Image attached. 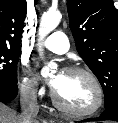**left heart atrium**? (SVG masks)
I'll list each match as a JSON object with an SVG mask.
<instances>
[{
    "label": "left heart atrium",
    "mask_w": 118,
    "mask_h": 123,
    "mask_svg": "<svg viewBox=\"0 0 118 123\" xmlns=\"http://www.w3.org/2000/svg\"><path fill=\"white\" fill-rule=\"evenodd\" d=\"M62 79V73H58L53 79L50 80L49 84L52 88H57Z\"/></svg>",
    "instance_id": "left-heart-atrium-1"
}]
</instances>
